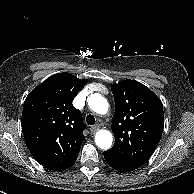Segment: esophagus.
I'll return each instance as SVG.
<instances>
[{
    "mask_svg": "<svg viewBox=\"0 0 194 194\" xmlns=\"http://www.w3.org/2000/svg\"><path fill=\"white\" fill-rule=\"evenodd\" d=\"M100 128V125L99 124H96V125H93L90 127V131L91 132H96L97 130H99Z\"/></svg>",
    "mask_w": 194,
    "mask_h": 194,
    "instance_id": "34e87169",
    "label": "esophagus"
}]
</instances>
